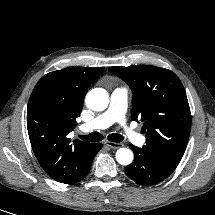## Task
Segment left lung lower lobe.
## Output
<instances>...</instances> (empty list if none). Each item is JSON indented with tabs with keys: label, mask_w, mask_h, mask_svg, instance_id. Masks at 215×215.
Returning a JSON list of instances; mask_svg holds the SVG:
<instances>
[{
	"label": "left lung lower lobe",
	"mask_w": 215,
	"mask_h": 215,
	"mask_svg": "<svg viewBox=\"0 0 215 215\" xmlns=\"http://www.w3.org/2000/svg\"><path fill=\"white\" fill-rule=\"evenodd\" d=\"M134 162L125 168L127 176L138 184L150 186L167 178L177 166L159 158L150 148L129 145Z\"/></svg>",
	"instance_id": "1"
}]
</instances>
